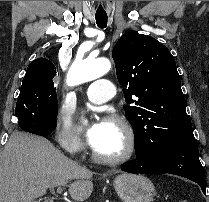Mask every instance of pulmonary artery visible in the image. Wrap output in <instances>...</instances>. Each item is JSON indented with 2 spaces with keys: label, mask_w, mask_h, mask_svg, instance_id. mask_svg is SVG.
<instances>
[{
  "label": "pulmonary artery",
  "mask_w": 209,
  "mask_h": 202,
  "mask_svg": "<svg viewBox=\"0 0 209 202\" xmlns=\"http://www.w3.org/2000/svg\"><path fill=\"white\" fill-rule=\"evenodd\" d=\"M115 84L108 80L98 79L86 87V96L93 104H103L111 98Z\"/></svg>",
  "instance_id": "obj_1"
}]
</instances>
